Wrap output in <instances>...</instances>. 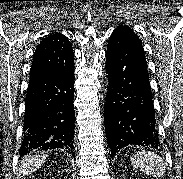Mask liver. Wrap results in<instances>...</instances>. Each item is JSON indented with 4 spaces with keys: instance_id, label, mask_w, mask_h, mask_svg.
I'll return each mask as SVG.
<instances>
[{
    "instance_id": "1",
    "label": "liver",
    "mask_w": 183,
    "mask_h": 179,
    "mask_svg": "<svg viewBox=\"0 0 183 179\" xmlns=\"http://www.w3.org/2000/svg\"><path fill=\"white\" fill-rule=\"evenodd\" d=\"M46 154H35L29 158H25L21 163L20 172L28 175L36 171L45 161Z\"/></svg>"
}]
</instances>
